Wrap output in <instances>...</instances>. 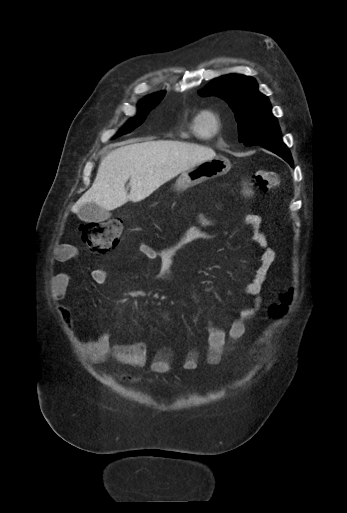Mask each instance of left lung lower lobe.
Segmentation results:
<instances>
[{"label": "left lung lower lobe", "mask_w": 347, "mask_h": 513, "mask_svg": "<svg viewBox=\"0 0 347 513\" xmlns=\"http://www.w3.org/2000/svg\"><path fill=\"white\" fill-rule=\"evenodd\" d=\"M262 147L279 155L284 160H286L290 164L291 167H293V160H292L291 154H290L287 146L284 143L279 142L276 144H266V145H262Z\"/></svg>", "instance_id": "obj_1"}]
</instances>
